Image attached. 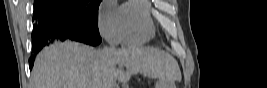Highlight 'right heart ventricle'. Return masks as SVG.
<instances>
[{"instance_id": "1", "label": "right heart ventricle", "mask_w": 267, "mask_h": 88, "mask_svg": "<svg viewBox=\"0 0 267 88\" xmlns=\"http://www.w3.org/2000/svg\"><path fill=\"white\" fill-rule=\"evenodd\" d=\"M123 45H141L155 35L150 1L131 0L121 7Z\"/></svg>"}]
</instances>
